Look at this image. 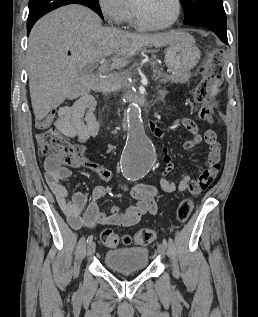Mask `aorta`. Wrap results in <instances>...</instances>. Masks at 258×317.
Returning <instances> with one entry per match:
<instances>
[{"label":"aorta","mask_w":258,"mask_h":317,"mask_svg":"<svg viewBox=\"0 0 258 317\" xmlns=\"http://www.w3.org/2000/svg\"><path fill=\"white\" fill-rule=\"evenodd\" d=\"M127 142L121 157L123 175L132 180L141 179L155 162V148L147 137L141 109L131 104L127 109Z\"/></svg>","instance_id":"aorta-1"}]
</instances>
